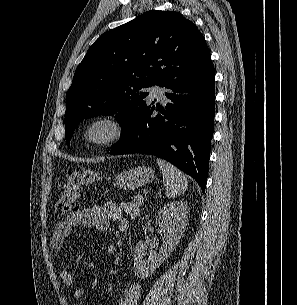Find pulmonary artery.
Listing matches in <instances>:
<instances>
[{
    "label": "pulmonary artery",
    "instance_id": "obj_1",
    "mask_svg": "<svg viewBox=\"0 0 297 305\" xmlns=\"http://www.w3.org/2000/svg\"><path fill=\"white\" fill-rule=\"evenodd\" d=\"M147 91L150 93V96H152V97H154V96L162 97L163 96V88L158 85L149 87L147 89Z\"/></svg>",
    "mask_w": 297,
    "mask_h": 305
}]
</instances>
